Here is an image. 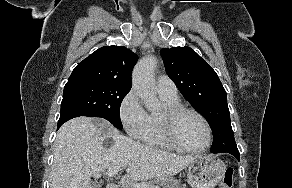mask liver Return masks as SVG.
Returning <instances> with one entry per match:
<instances>
[{
	"mask_svg": "<svg viewBox=\"0 0 292 188\" xmlns=\"http://www.w3.org/2000/svg\"><path fill=\"white\" fill-rule=\"evenodd\" d=\"M106 138L114 141L109 148L104 146ZM195 158L140 144L103 119L77 117L57 133L50 188H90L92 176L113 167H126L133 181L172 176Z\"/></svg>",
	"mask_w": 292,
	"mask_h": 188,
	"instance_id": "1",
	"label": "liver"
}]
</instances>
